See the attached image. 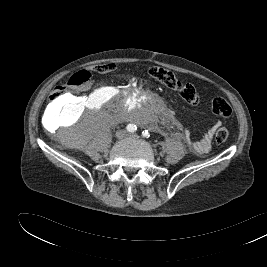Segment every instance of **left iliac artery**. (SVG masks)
Returning a JSON list of instances; mask_svg holds the SVG:
<instances>
[{"instance_id":"obj_1","label":"left iliac artery","mask_w":267,"mask_h":267,"mask_svg":"<svg viewBox=\"0 0 267 267\" xmlns=\"http://www.w3.org/2000/svg\"><path fill=\"white\" fill-rule=\"evenodd\" d=\"M142 136L145 137V138H149L150 137V132L148 130H144L142 132Z\"/></svg>"}]
</instances>
